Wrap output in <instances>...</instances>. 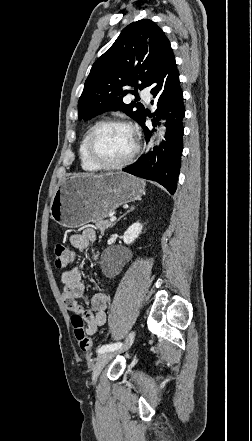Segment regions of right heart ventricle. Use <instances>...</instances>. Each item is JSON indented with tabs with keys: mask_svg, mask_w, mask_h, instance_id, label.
<instances>
[{
	"mask_svg": "<svg viewBox=\"0 0 252 441\" xmlns=\"http://www.w3.org/2000/svg\"><path fill=\"white\" fill-rule=\"evenodd\" d=\"M94 126H95V125H92V126H90V127L87 129V131L85 132V134H84V136H83V138H82V140H81V142H80L79 148H78V154H79L80 166H81V168H82L84 171H88V172H95V171L100 170L99 167H97L96 165H94V164L89 160V158H88V156H87V153H86V144H87V140H88V137H89V135H90V132H91V130H92V128H93Z\"/></svg>",
	"mask_w": 252,
	"mask_h": 441,
	"instance_id": "obj_1",
	"label": "right heart ventricle"
}]
</instances>
